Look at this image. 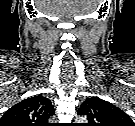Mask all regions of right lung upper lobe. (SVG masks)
<instances>
[{
    "label": "right lung upper lobe",
    "instance_id": "obj_1",
    "mask_svg": "<svg viewBox=\"0 0 135 126\" xmlns=\"http://www.w3.org/2000/svg\"><path fill=\"white\" fill-rule=\"evenodd\" d=\"M54 112L47 97L35 95L9 108L0 119V126H46Z\"/></svg>",
    "mask_w": 135,
    "mask_h": 126
}]
</instances>
